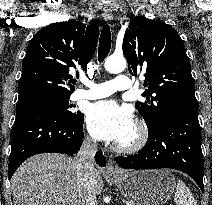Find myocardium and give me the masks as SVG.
I'll list each match as a JSON object with an SVG mask.
<instances>
[{"instance_id": "f54148a6", "label": "myocardium", "mask_w": 212, "mask_h": 205, "mask_svg": "<svg viewBox=\"0 0 212 205\" xmlns=\"http://www.w3.org/2000/svg\"><path fill=\"white\" fill-rule=\"evenodd\" d=\"M135 137L128 143H117L115 149L121 153H135L141 150L148 142L149 131L141 121L135 123Z\"/></svg>"}]
</instances>
